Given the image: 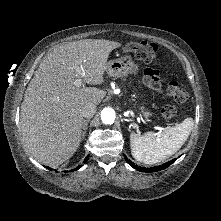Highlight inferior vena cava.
Returning <instances> with one entry per match:
<instances>
[{"instance_id":"602c4592","label":"inferior vena cava","mask_w":221,"mask_h":221,"mask_svg":"<svg viewBox=\"0 0 221 221\" xmlns=\"http://www.w3.org/2000/svg\"><path fill=\"white\" fill-rule=\"evenodd\" d=\"M95 113H96V105L93 103L86 104L81 110V114L85 118H91L94 116Z\"/></svg>"}]
</instances>
